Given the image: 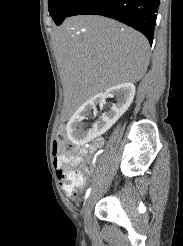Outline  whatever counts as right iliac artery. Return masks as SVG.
Returning <instances> with one entry per match:
<instances>
[{"mask_svg":"<svg viewBox=\"0 0 183 246\" xmlns=\"http://www.w3.org/2000/svg\"><path fill=\"white\" fill-rule=\"evenodd\" d=\"M90 192H91V188H88L86 194H85V199L88 198V196L90 195Z\"/></svg>","mask_w":183,"mask_h":246,"instance_id":"1","label":"right iliac artery"}]
</instances>
